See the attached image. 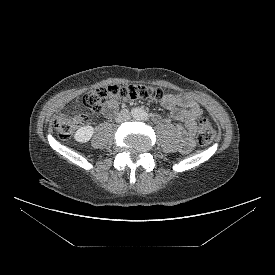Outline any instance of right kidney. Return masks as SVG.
<instances>
[{"mask_svg": "<svg viewBox=\"0 0 275 275\" xmlns=\"http://www.w3.org/2000/svg\"><path fill=\"white\" fill-rule=\"evenodd\" d=\"M93 133L94 128L92 126H83L76 131L74 138L77 142L86 143L91 139Z\"/></svg>", "mask_w": 275, "mask_h": 275, "instance_id": "obj_1", "label": "right kidney"}]
</instances>
